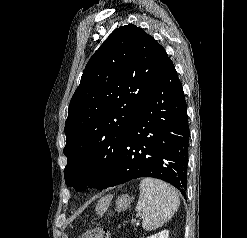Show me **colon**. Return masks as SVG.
Wrapping results in <instances>:
<instances>
[{
	"label": "colon",
	"instance_id": "colon-1",
	"mask_svg": "<svg viewBox=\"0 0 247 238\" xmlns=\"http://www.w3.org/2000/svg\"><path fill=\"white\" fill-rule=\"evenodd\" d=\"M110 234L105 228H96L84 233L82 238H109Z\"/></svg>",
	"mask_w": 247,
	"mask_h": 238
}]
</instances>
